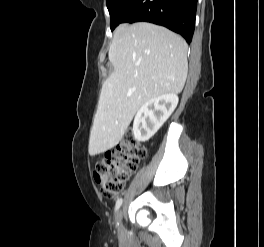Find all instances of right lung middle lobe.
I'll return each instance as SVG.
<instances>
[{
  "instance_id": "obj_1",
  "label": "right lung middle lobe",
  "mask_w": 264,
  "mask_h": 247,
  "mask_svg": "<svg viewBox=\"0 0 264 247\" xmlns=\"http://www.w3.org/2000/svg\"><path fill=\"white\" fill-rule=\"evenodd\" d=\"M131 0H106L110 13V28L113 31L118 25V18Z\"/></svg>"
}]
</instances>
